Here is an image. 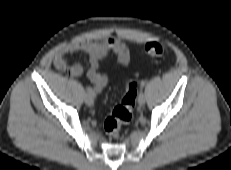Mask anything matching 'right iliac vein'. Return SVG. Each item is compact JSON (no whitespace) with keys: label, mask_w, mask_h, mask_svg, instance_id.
Listing matches in <instances>:
<instances>
[{"label":"right iliac vein","mask_w":231,"mask_h":170,"mask_svg":"<svg viewBox=\"0 0 231 170\" xmlns=\"http://www.w3.org/2000/svg\"><path fill=\"white\" fill-rule=\"evenodd\" d=\"M84 100H85V103L88 105V106H93L94 104V98L92 95L90 94H86L85 97H84Z\"/></svg>","instance_id":"63e3f726"}]
</instances>
